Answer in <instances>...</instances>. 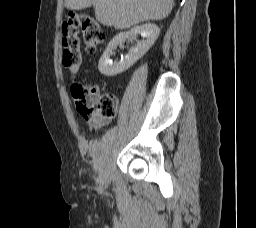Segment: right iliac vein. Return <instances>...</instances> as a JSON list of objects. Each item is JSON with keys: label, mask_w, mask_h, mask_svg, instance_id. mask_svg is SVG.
<instances>
[{"label": "right iliac vein", "mask_w": 256, "mask_h": 228, "mask_svg": "<svg viewBox=\"0 0 256 228\" xmlns=\"http://www.w3.org/2000/svg\"><path fill=\"white\" fill-rule=\"evenodd\" d=\"M120 133V130H117L116 134H114L113 136L110 137V139L108 140V143L105 144V150L103 151V156L100 157L101 160V166L102 167H107L108 166V160L107 157L110 154V152L112 151V144L115 143V141L118 138V135ZM104 180L105 181H110L111 180V174L109 171H105L104 172Z\"/></svg>", "instance_id": "63e3f726"}]
</instances>
